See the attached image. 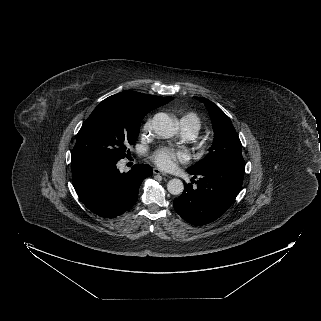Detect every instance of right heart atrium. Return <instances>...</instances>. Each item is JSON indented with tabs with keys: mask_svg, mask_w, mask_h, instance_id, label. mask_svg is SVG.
Wrapping results in <instances>:
<instances>
[{
	"mask_svg": "<svg viewBox=\"0 0 321 321\" xmlns=\"http://www.w3.org/2000/svg\"><path fill=\"white\" fill-rule=\"evenodd\" d=\"M150 125H151V120H148L144 125V129L148 130L150 128Z\"/></svg>",
	"mask_w": 321,
	"mask_h": 321,
	"instance_id": "obj_1",
	"label": "right heart atrium"
}]
</instances>
